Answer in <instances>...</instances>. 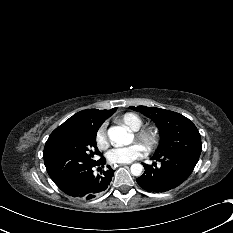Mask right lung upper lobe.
I'll return each mask as SVG.
<instances>
[{"label":"right lung upper lobe","mask_w":233,"mask_h":233,"mask_svg":"<svg viewBox=\"0 0 233 233\" xmlns=\"http://www.w3.org/2000/svg\"><path fill=\"white\" fill-rule=\"evenodd\" d=\"M113 108L111 110H98V109H86L80 111L66 120L62 125L56 128L49 136L46 143L59 131L72 129V128H83L87 125H94L96 123L105 121L110 117L116 110Z\"/></svg>","instance_id":"1"}]
</instances>
